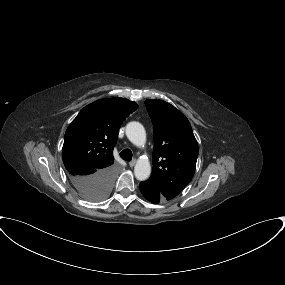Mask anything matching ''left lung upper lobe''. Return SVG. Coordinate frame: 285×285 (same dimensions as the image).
<instances>
[{
	"mask_svg": "<svg viewBox=\"0 0 285 285\" xmlns=\"http://www.w3.org/2000/svg\"><path fill=\"white\" fill-rule=\"evenodd\" d=\"M153 123V169L149 182L168 200L176 197L191 181L199 153L192 127L173 105L150 99L145 101Z\"/></svg>",
	"mask_w": 285,
	"mask_h": 285,
	"instance_id": "left-lung-upper-lobe-1",
	"label": "left lung upper lobe"
}]
</instances>
